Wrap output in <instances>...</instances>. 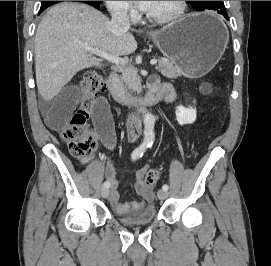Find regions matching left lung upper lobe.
Masks as SVG:
<instances>
[{"instance_id":"obj_1","label":"left lung upper lobe","mask_w":271,"mask_h":266,"mask_svg":"<svg viewBox=\"0 0 271 266\" xmlns=\"http://www.w3.org/2000/svg\"><path fill=\"white\" fill-rule=\"evenodd\" d=\"M195 10H213L217 13L226 12L223 1H187Z\"/></svg>"}]
</instances>
